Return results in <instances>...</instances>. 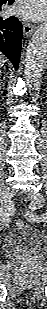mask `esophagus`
<instances>
[{
	"label": "esophagus",
	"mask_w": 47,
	"mask_h": 309,
	"mask_svg": "<svg viewBox=\"0 0 47 309\" xmlns=\"http://www.w3.org/2000/svg\"><path fill=\"white\" fill-rule=\"evenodd\" d=\"M35 29V26L30 23H24L23 24V32L26 35V37H30Z\"/></svg>",
	"instance_id": "34e87169"
}]
</instances>
